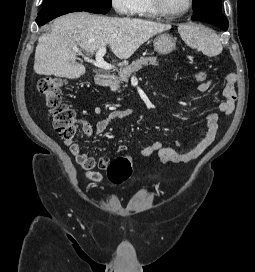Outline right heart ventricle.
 I'll return each instance as SVG.
<instances>
[{
	"label": "right heart ventricle",
	"mask_w": 255,
	"mask_h": 272,
	"mask_svg": "<svg viewBox=\"0 0 255 272\" xmlns=\"http://www.w3.org/2000/svg\"><path fill=\"white\" fill-rule=\"evenodd\" d=\"M135 13L147 18H155L158 16V13L153 8L152 0H137Z\"/></svg>",
	"instance_id": "right-heart-ventricle-1"
}]
</instances>
